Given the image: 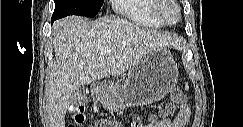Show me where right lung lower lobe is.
Returning a JSON list of instances; mask_svg holds the SVG:
<instances>
[{
    "label": "right lung lower lobe",
    "instance_id": "98d812e1",
    "mask_svg": "<svg viewBox=\"0 0 243 127\" xmlns=\"http://www.w3.org/2000/svg\"><path fill=\"white\" fill-rule=\"evenodd\" d=\"M55 19L54 18H52V22L54 21Z\"/></svg>",
    "mask_w": 243,
    "mask_h": 127
}]
</instances>
